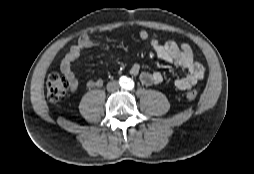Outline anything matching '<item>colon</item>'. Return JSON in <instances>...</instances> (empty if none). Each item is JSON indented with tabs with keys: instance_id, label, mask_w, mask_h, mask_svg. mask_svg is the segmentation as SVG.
I'll return each instance as SVG.
<instances>
[{
	"instance_id": "5ec220e1",
	"label": "colon",
	"mask_w": 254,
	"mask_h": 174,
	"mask_svg": "<svg viewBox=\"0 0 254 174\" xmlns=\"http://www.w3.org/2000/svg\"><path fill=\"white\" fill-rule=\"evenodd\" d=\"M70 85L65 75L58 72H53L48 76L46 81V94L51 102L60 100L68 91ZM198 94L195 90H188L186 98L188 100H195Z\"/></svg>"
}]
</instances>
